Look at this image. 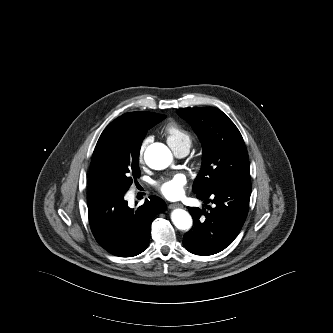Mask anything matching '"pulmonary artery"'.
Segmentation results:
<instances>
[{
    "mask_svg": "<svg viewBox=\"0 0 333 333\" xmlns=\"http://www.w3.org/2000/svg\"><path fill=\"white\" fill-rule=\"evenodd\" d=\"M189 150L187 148H181L175 151L176 155L180 158L185 157L188 154Z\"/></svg>",
    "mask_w": 333,
    "mask_h": 333,
    "instance_id": "e3ab8cb5",
    "label": "pulmonary artery"
}]
</instances>
